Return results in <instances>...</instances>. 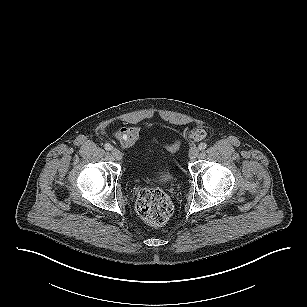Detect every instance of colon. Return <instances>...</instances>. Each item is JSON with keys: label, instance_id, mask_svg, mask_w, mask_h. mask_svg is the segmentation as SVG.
Masks as SVG:
<instances>
[{"label": "colon", "instance_id": "colon-1", "mask_svg": "<svg viewBox=\"0 0 307 307\" xmlns=\"http://www.w3.org/2000/svg\"><path fill=\"white\" fill-rule=\"evenodd\" d=\"M191 136L200 140L205 137L203 129L192 131ZM163 146L170 152H176L180 148V141L175 139L170 143H164ZM136 208L139 215L148 223L161 225L171 216L173 206L168 195L158 188H143L137 196Z\"/></svg>", "mask_w": 307, "mask_h": 307}]
</instances>
